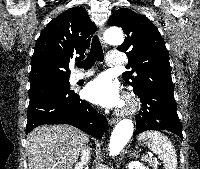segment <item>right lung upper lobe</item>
Listing matches in <instances>:
<instances>
[{
	"label": "right lung upper lobe",
	"mask_w": 200,
	"mask_h": 169,
	"mask_svg": "<svg viewBox=\"0 0 200 169\" xmlns=\"http://www.w3.org/2000/svg\"><path fill=\"white\" fill-rule=\"evenodd\" d=\"M96 26L84 8L73 7L54 18L42 31L31 58L30 86L70 77L69 62L89 48Z\"/></svg>",
	"instance_id": "right-lung-upper-lobe-1"
}]
</instances>
